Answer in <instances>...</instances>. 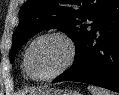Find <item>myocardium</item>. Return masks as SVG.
Segmentation results:
<instances>
[{"label":"myocardium","mask_w":119,"mask_h":95,"mask_svg":"<svg viewBox=\"0 0 119 95\" xmlns=\"http://www.w3.org/2000/svg\"><path fill=\"white\" fill-rule=\"evenodd\" d=\"M51 37L59 38L65 42V44L67 45V48H68V56H67L65 62L63 63V65L57 71H55L53 74L48 75V76H37L36 74H34L32 72L30 65H29L30 51H31L32 47L38 41L45 39V38H51ZM76 55H77V46H76L74 39L70 35H68L67 33L62 32V31H51V32H47V33L39 35L28 45V47L24 53V67H25L27 74L31 78H33L37 81H50V80L57 78L58 76L63 74L66 70H68L73 65V63L76 59Z\"/></svg>","instance_id":"obj_1"}]
</instances>
